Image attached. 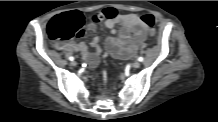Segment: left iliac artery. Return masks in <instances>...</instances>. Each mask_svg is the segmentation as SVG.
<instances>
[{"label":"left iliac artery","instance_id":"left-iliac-artery-1","mask_svg":"<svg viewBox=\"0 0 218 122\" xmlns=\"http://www.w3.org/2000/svg\"><path fill=\"white\" fill-rule=\"evenodd\" d=\"M143 60H144V58L141 56L138 58V61H140V62H142Z\"/></svg>","mask_w":218,"mask_h":122}]
</instances>
